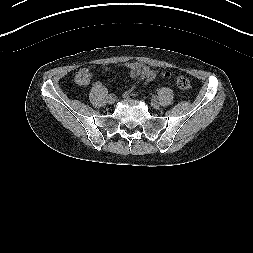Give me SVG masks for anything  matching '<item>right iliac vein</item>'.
Masks as SVG:
<instances>
[{
	"instance_id": "1",
	"label": "right iliac vein",
	"mask_w": 253,
	"mask_h": 253,
	"mask_svg": "<svg viewBox=\"0 0 253 253\" xmlns=\"http://www.w3.org/2000/svg\"><path fill=\"white\" fill-rule=\"evenodd\" d=\"M109 99H108V103L110 104V105H112V104H114L115 103V98L114 97H108Z\"/></svg>"
}]
</instances>
